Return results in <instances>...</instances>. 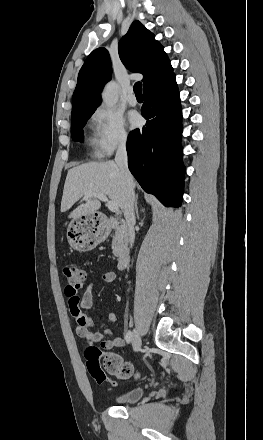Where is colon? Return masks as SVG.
<instances>
[{
  "mask_svg": "<svg viewBox=\"0 0 263 440\" xmlns=\"http://www.w3.org/2000/svg\"><path fill=\"white\" fill-rule=\"evenodd\" d=\"M63 274L72 288L80 287L85 280V271L73 264H66L63 267ZM86 366L91 377L98 383L103 384L109 381L107 373L118 379H128L136 375L133 365L125 361L115 353L102 355V352L95 346H90L85 351ZM103 359L102 365L100 359Z\"/></svg>",
  "mask_w": 263,
  "mask_h": 440,
  "instance_id": "5ec220e1",
  "label": "colon"
}]
</instances>
